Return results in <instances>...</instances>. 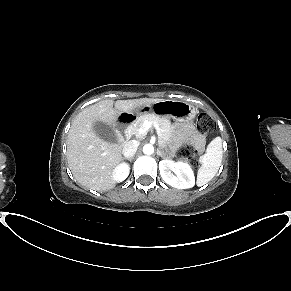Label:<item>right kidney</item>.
I'll list each match as a JSON object with an SVG mask.
<instances>
[{"instance_id":"right-kidney-1","label":"right kidney","mask_w":291,"mask_h":291,"mask_svg":"<svg viewBox=\"0 0 291 291\" xmlns=\"http://www.w3.org/2000/svg\"><path fill=\"white\" fill-rule=\"evenodd\" d=\"M130 172V167L126 163H121L112 172V177L116 182L124 181Z\"/></svg>"}]
</instances>
